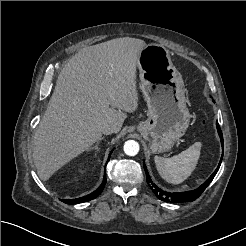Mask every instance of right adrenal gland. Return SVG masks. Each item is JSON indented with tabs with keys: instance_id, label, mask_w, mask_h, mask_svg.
Returning <instances> with one entry per match:
<instances>
[{
	"instance_id": "2a0ac1e0",
	"label": "right adrenal gland",
	"mask_w": 246,
	"mask_h": 246,
	"mask_svg": "<svg viewBox=\"0 0 246 246\" xmlns=\"http://www.w3.org/2000/svg\"><path fill=\"white\" fill-rule=\"evenodd\" d=\"M103 139H104V137H101V138L97 141V143H96L93 147L90 148V150H91V149H95V150L98 152V151L100 150L99 144H100V142H101Z\"/></svg>"
}]
</instances>
